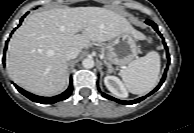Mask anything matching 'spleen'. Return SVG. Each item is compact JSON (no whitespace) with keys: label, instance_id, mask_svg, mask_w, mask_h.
<instances>
[{"label":"spleen","instance_id":"spleen-1","mask_svg":"<svg viewBox=\"0 0 194 133\" xmlns=\"http://www.w3.org/2000/svg\"><path fill=\"white\" fill-rule=\"evenodd\" d=\"M160 56L151 51L143 57L130 62L120 70V76L129 92L143 95L157 84L160 72Z\"/></svg>","mask_w":194,"mask_h":133}]
</instances>
